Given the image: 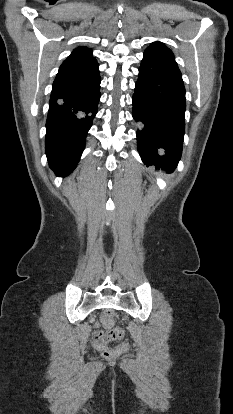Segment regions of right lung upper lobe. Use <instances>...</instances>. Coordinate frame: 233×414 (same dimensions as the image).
Segmentation results:
<instances>
[{
	"instance_id": "cb5924a9",
	"label": "right lung upper lobe",
	"mask_w": 233,
	"mask_h": 414,
	"mask_svg": "<svg viewBox=\"0 0 233 414\" xmlns=\"http://www.w3.org/2000/svg\"><path fill=\"white\" fill-rule=\"evenodd\" d=\"M97 66L98 63L92 56L91 49L78 47L62 63L59 73H82L90 71Z\"/></svg>"
}]
</instances>
